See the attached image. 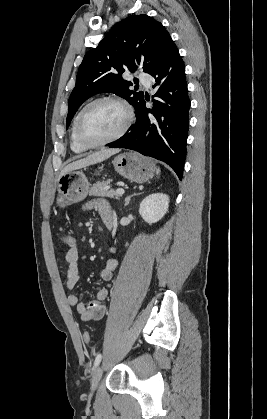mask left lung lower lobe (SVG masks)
<instances>
[{"label":"left lung lower lobe","instance_id":"left-lung-lower-lobe-1","mask_svg":"<svg viewBox=\"0 0 267 419\" xmlns=\"http://www.w3.org/2000/svg\"><path fill=\"white\" fill-rule=\"evenodd\" d=\"M156 80L153 107H146L143 97L135 107L136 123L111 148H127L164 161L183 176L186 141L189 130V108L185 65L171 39L155 67L149 72Z\"/></svg>","mask_w":267,"mask_h":419}]
</instances>
